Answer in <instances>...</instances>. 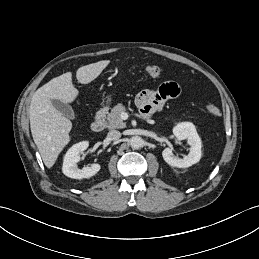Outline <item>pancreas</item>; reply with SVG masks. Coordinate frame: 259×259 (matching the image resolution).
<instances>
[{
  "mask_svg": "<svg viewBox=\"0 0 259 259\" xmlns=\"http://www.w3.org/2000/svg\"><path fill=\"white\" fill-rule=\"evenodd\" d=\"M126 111V107L119 103L114 106L110 113H108L107 119V127L109 129H122L126 127L125 122L121 119V114Z\"/></svg>",
  "mask_w": 259,
  "mask_h": 259,
  "instance_id": "1",
  "label": "pancreas"
}]
</instances>
